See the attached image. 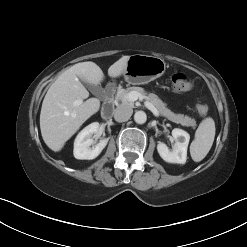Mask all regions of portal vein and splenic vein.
<instances>
[{
  "instance_id": "obj_1",
  "label": "portal vein and splenic vein",
  "mask_w": 247,
  "mask_h": 247,
  "mask_svg": "<svg viewBox=\"0 0 247 247\" xmlns=\"http://www.w3.org/2000/svg\"><path fill=\"white\" fill-rule=\"evenodd\" d=\"M140 97H141V95H140L138 92H136V91H132V92H130V93L127 94V99H128L129 101H132V102L138 100ZM82 103H83V100L78 99V100H76V101L74 102V106H79V105H81ZM145 105H146V107H147V108H148L155 116H159L158 110H157L150 102H146Z\"/></svg>"
}]
</instances>
